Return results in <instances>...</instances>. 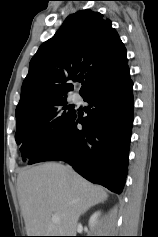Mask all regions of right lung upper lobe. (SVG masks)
I'll use <instances>...</instances> for the list:
<instances>
[{"label": "right lung upper lobe", "mask_w": 158, "mask_h": 237, "mask_svg": "<svg viewBox=\"0 0 158 237\" xmlns=\"http://www.w3.org/2000/svg\"><path fill=\"white\" fill-rule=\"evenodd\" d=\"M127 53L109 19L89 9L66 18L30 61L16 108V118L35 114L49 103L66 99L70 81H83V96L96 83L127 64Z\"/></svg>", "instance_id": "obj_1"}]
</instances>
